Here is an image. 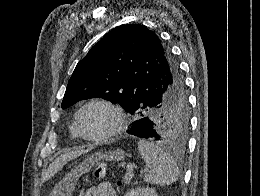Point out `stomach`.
Wrapping results in <instances>:
<instances>
[{
	"label": "stomach",
	"mask_w": 260,
	"mask_h": 196,
	"mask_svg": "<svg viewBox=\"0 0 260 196\" xmlns=\"http://www.w3.org/2000/svg\"><path fill=\"white\" fill-rule=\"evenodd\" d=\"M127 154L124 150H114V152H105V154H93L90 158L83 160L81 164L75 166L74 170L69 172L68 180H60V185H68V187H50V191H47V196H72V192L77 186V182L82 174L90 172L95 162H98L99 158H104L107 162H120L125 160Z\"/></svg>",
	"instance_id": "obj_1"
}]
</instances>
